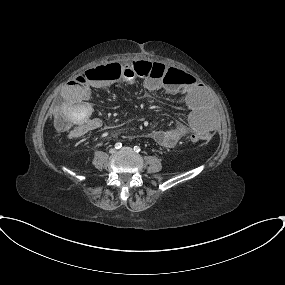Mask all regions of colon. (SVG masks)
<instances>
[{
  "instance_id": "colon-1",
  "label": "colon",
  "mask_w": 285,
  "mask_h": 285,
  "mask_svg": "<svg viewBox=\"0 0 285 285\" xmlns=\"http://www.w3.org/2000/svg\"><path fill=\"white\" fill-rule=\"evenodd\" d=\"M107 70H112L122 76H136L143 79H156L162 81L167 86H176L186 83L190 77L183 71L167 68L160 63H152L144 60L133 61L127 65L113 63L108 65ZM103 70H87L82 73L86 79H100L103 77ZM56 125L62 132L69 133L75 129L70 116L65 112H59L56 116ZM210 139L207 133H193L189 140L192 142H207Z\"/></svg>"
}]
</instances>
